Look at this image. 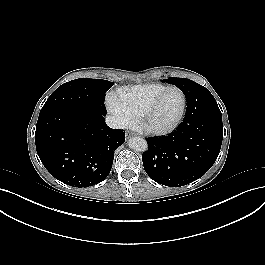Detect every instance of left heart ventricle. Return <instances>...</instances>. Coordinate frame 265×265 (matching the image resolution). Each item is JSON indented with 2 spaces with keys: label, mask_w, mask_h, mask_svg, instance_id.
<instances>
[{
  "label": "left heart ventricle",
  "mask_w": 265,
  "mask_h": 265,
  "mask_svg": "<svg viewBox=\"0 0 265 265\" xmlns=\"http://www.w3.org/2000/svg\"><path fill=\"white\" fill-rule=\"evenodd\" d=\"M181 106L182 97L178 91L166 92L149 117L148 123L158 128L167 126L177 117Z\"/></svg>",
  "instance_id": "b2bd125f"
}]
</instances>
